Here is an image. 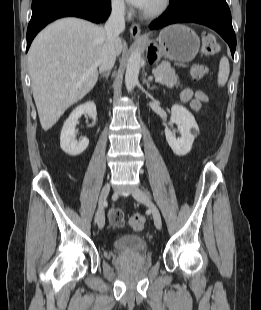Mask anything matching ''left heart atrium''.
<instances>
[{"mask_svg": "<svg viewBox=\"0 0 261 310\" xmlns=\"http://www.w3.org/2000/svg\"><path fill=\"white\" fill-rule=\"evenodd\" d=\"M126 1L138 9H145L150 0H126Z\"/></svg>", "mask_w": 261, "mask_h": 310, "instance_id": "obj_1", "label": "left heart atrium"}]
</instances>
